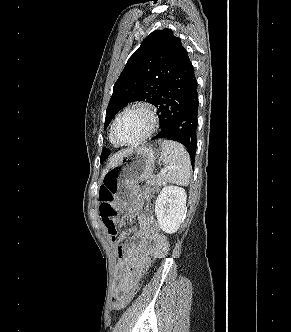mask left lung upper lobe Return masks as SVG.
I'll return each mask as SVG.
<instances>
[{
    "label": "left lung upper lobe",
    "instance_id": "obj_1",
    "mask_svg": "<svg viewBox=\"0 0 291 332\" xmlns=\"http://www.w3.org/2000/svg\"><path fill=\"white\" fill-rule=\"evenodd\" d=\"M184 52L180 38L171 29L155 30L148 35L114 84L104 128L130 102L146 101L155 105ZM109 154L110 150L103 148L101 162Z\"/></svg>",
    "mask_w": 291,
    "mask_h": 332
}]
</instances>
